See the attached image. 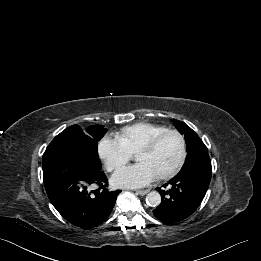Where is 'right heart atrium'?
I'll return each instance as SVG.
<instances>
[{
	"instance_id": "1",
	"label": "right heart atrium",
	"mask_w": 261,
	"mask_h": 261,
	"mask_svg": "<svg viewBox=\"0 0 261 261\" xmlns=\"http://www.w3.org/2000/svg\"><path fill=\"white\" fill-rule=\"evenodd\" d=\"M98 155L105 168L110 172L119 169L130 157L121 142L110 135H105L99 140Z\"/></svg>"
}]
</instances>
